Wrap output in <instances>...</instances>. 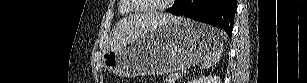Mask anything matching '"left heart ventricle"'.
Masks as SVG:
<instances>
[{"mask_svg":"<svg viewBox=\"0 0 307 83\" xmlns=\"http://www.w3.org/2000/svg\"><path fill=\"white\" fill-rule=\"evenodd\" d=\"M165 2V0H139L138 3L140 5H143V7H152V6H158L160 3Z\"/></svg>","mask_w":307,"mask_h":83,"instance_id":"b2bd125f","label":"left heart ventricle"}]
</instances>
